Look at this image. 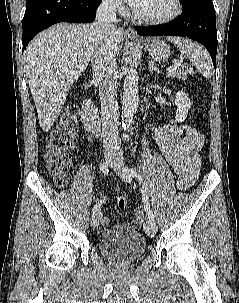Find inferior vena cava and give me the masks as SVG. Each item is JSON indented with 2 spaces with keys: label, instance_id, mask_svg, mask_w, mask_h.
Wrapping results in <instances>:
<instances>
[{
  "label": "inferior vena cava",
  "instance_id": "1",
  "mask_svg": "<svg viewBox=\"0 0 239 303\" xmlns=\"http://www.w3.org/2000/svg\"><path fill=\"white\" fill-rule=\"evenodd\" d=\"M116 4L114 0H103L96 12L93 24L99 43L91 61L94 75L99 81L101 100L102 134L105 151L118 149V102H117V64L115 53L110 47V38L115 30Z\"/></svg>",
  "mask_w": 239,
  "mask_h": 303
}]
</instances>
